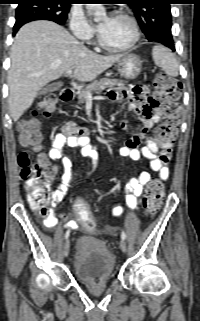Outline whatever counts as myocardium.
<instances>
[{
    "label": "myocardium",
    "mask_w": 200,
    "mask_h": 321,
    "mask_svg": "<svg viewBox=\"0 0 200 321\" xmlns=\"http://www.w3.org/2000/svg\"><path fill=\"white\" fill-rule=\"evenodd\" d=\"M114 15L122 17V18H125L131 23L132 28H133V37H132L131 41L127 45H124V46H120V47L111 46L104 40L101 32H99V34H98V43L103 49H105V50H107L109 52H126V51H129L137 44V42L140 39V27H139V24H138L137 20L135 19V17H133L131 14H129V13L125 12V11H116Z\"/></svg>",
    "instance_id": "myocardium-1"
}]
</instances>
